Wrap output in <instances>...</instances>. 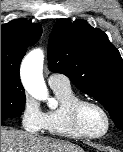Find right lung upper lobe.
Wrapping results in <instances>:
<instances>
[{
    "label": "right lung upper lobe",
    "instance_id": "right-lung-upper-lobe-1",
    "mask_svg": "<svg viewBox=\"0 0 123 152\" xmlns=\"http://www.w3.org/2000/svg\"><path fill=\"white\" fill-rule=\"evenodd\" d=\"M42 35L39 24L25 19L1 25V73L19 76V67L29 46Z\"/></svg>",
    "mask_w": 123,
    "mask_h": 152
}]
</instances>
